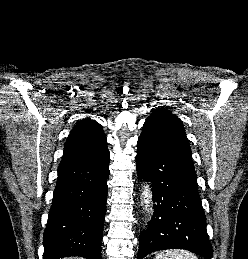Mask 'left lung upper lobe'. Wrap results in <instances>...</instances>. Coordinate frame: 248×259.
I'll list each match as a JSON object with an SVG mask.
<instances>
[{"label":"left lung upper lobe","instance_id":"1","mask_svg":"<svg viewBox=\"0 0 248 259\" xmlns=\"http://www.w3.org/2000/svg\"><path fill=\"white\" fill-rule=\"evenodd\" d=\"M138 140L168 154L194 171L192 152L183 124L168 110H154L144 123Z\"/></svg>","mask_w":248,"mask_h":259}]
</instances>
